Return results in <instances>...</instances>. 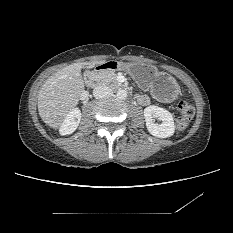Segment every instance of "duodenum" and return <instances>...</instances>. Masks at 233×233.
Segmentation results:
<instances>
[{
  "label": "duodenum",
  "instance_id": "410a0bca",
  "mask_svg": "<svg viewBox=\"0 0 233 233\" xmlns=\"http://www.w3.org/2000/svg\"><path fill=\"white\" fill-rule=\"evenodd\" d=\"M120 68V64L116 61H108L98 63L91 69H88L84 73V80L88 85H93L94 75L103 70H118Z\"/></svg>",
  "mask_w": 233,
  "mask_h": 233
}]
</instances>
